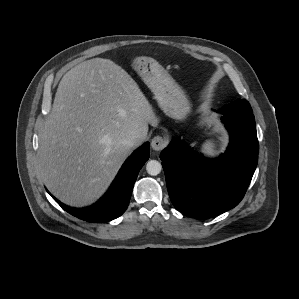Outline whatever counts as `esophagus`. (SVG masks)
Masks as SVG:
<instances>
[{"label":"esophagus","mask_w":299,"mask_h":299,"mask_svg":"<svg viewBox=\"0 0 299 299\" xmlns=\"http://www.w3.org/2000/svg\"><path fill=\"white\" fill-rule=\"evenodd\" d=\"M166 145V140L162 136H155L151 141V147L155 151L162 150Z\"/></svg>","instance_id":"esophagus-1"}]
</instances>
